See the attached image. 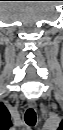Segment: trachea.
Returning a JSON list of instances; mask_svg holds the SVG:
<instances>
[{
  "mask_svg": "<svg viewBox=\"0 0 63 130\" xmlns=\"http://www.w3.org/2000/svg\"><path fill=\"white\" fill-rule=\"evenodd\" d=\"M24 120L27 125L34 126L36 123V113L33 108H29L24 115Z\"/></svg>",
  "mask_w": 63,
  "mask_h": 130,
  "instance_id": "obj_1",
  "label": "trachea"
}]
</instances>
